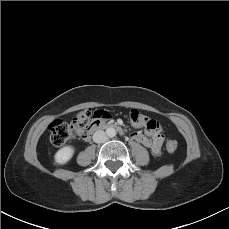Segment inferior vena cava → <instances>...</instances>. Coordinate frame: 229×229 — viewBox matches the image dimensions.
Instances as JSON below:
<instances>
[{
  "label": "inferior vena cava",
  "instance_id": "obj_1",
  "mask_svg": "<svg viewBox=\"0 0 229 229\" xmlns=\"http://www.w3.org/2000/svg\"><path fill=\"white\" fill-rule=\"evenodd\" d=\"M108 139L106 133L102 130H98L93 134V141L95 143H104Z\"/></svg>",
  "mask_w": 229,
  "mask_h": 229
}]
</instances>
